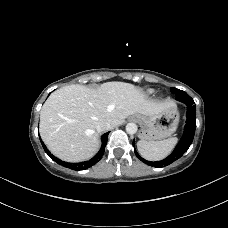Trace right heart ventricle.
<instances>
[{"label": "right heart ventricle", "mask_w": 228, "mask_h": 228, "mask_svg": "<svg viewBox=\"0 0 228 228\" xmlns=\"http://www.w3.org/2000/svg\"><path fill=\"white\" fill-rule=\"evenodd\" d=\"M148 93H149V94L153 93V90H149Z\"/></svg>", "instance_id": "right-heart-ventricle-1"}]
</instances>
